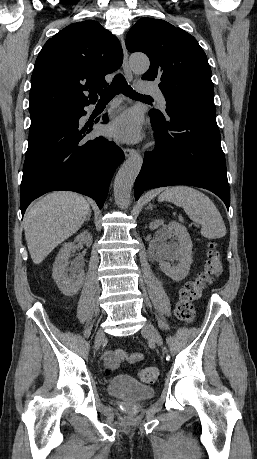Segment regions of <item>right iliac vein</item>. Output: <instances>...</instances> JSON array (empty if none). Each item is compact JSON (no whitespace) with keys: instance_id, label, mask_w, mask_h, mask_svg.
Masks as SVG:
<instances>
[{"instance_id":"63e3f726","label":"right iliac vein","mask_w":257,"mask_h":459,"mask_svg":"<svg viewBox=\"0 0 257 459\" xmlns=\"http://www.w3.org/2000/svg\"><path fill=\"white\" fill-rule=\"evenodd\" d=\"M105 340V333L102 329H98L96 332V348L98 349L103 341Z\"/></svg>"}]
</instances>
